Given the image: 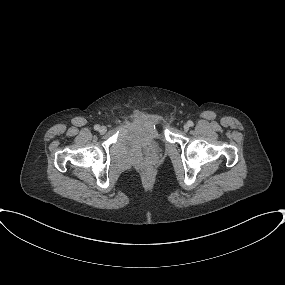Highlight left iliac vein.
Listing matches in <instances>:
<instances>
[{"label":"left iliac vein","mask_w":285,"mask_h":285,"mask_svg":"<svg viewBox=\"0 0 285 285\" xmlns=\"http://www.w3.org/2000/svg\"><path fill=\"white\" fill-rule=\"evenodd\" d=\"M183 128H184L185 131H188L189 130V125L185 124Z\"/></svg>","instance_id":"obj_1"}]
</instances>
